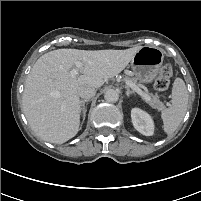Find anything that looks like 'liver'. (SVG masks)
<instances>
[{
    "label": "liver",
    "instance_id": "liver-1",
    "mask_svg": "<svg viewBox=\"0 0 201 201\" xmlns=\"http://www.w3.org/2000/svg\"><path fill=\"white\" fill-rule=\"evenodd\" d=\"M141 47L126 50L57 49L42 55L25 83L22 109L30 127L44 141L62 144L80 130L81 86L100 88L118 75ZM81 75L71 77L75 62Z\"/></svg>",
    "mask_w": 201,
    "mask_h": 201
}]
</instances>
